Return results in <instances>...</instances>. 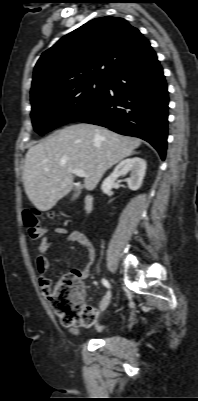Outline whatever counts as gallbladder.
Instances as JSON below:
<instances>
[{"instance_id":"1","label":"gallbladder","mask_w":198,"mask_h":401,"mask_svg":"<svg viewBox=\"0 0 198 401\" xmlns=\"http://www.w3.org/2000/svg\"><path fill=\"white\" fill-rule=\"evenodd\" d=\"M78 196H79V192H78V188H76L75 189V192H74V194H73V196H72V200H75L76 198H78Z\"/></svg>"}]
</instances>
